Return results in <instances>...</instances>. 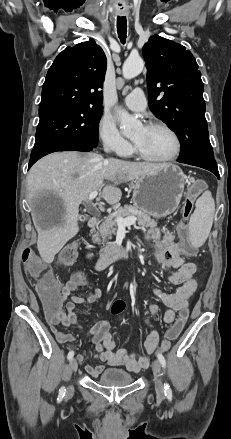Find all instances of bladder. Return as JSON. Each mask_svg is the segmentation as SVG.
I'll return each instance as SVG.
<instances>
[{
	"label": "bladder",
	"mask_w": 231,
	"mask_h": 439,
	"mask_svg": "<svg viewBox=\"0 0 231 439\" xmlns=\"http://www.w3.org/2000/svg\"><path fill=\"white\" fill-rule=\"evenodd\" d=\"M134 378L131 374L120 369H107L96 380L102 386L120 387L132 384Z\"/></svg>",
	"instance_id": "bladder-1"
}]
</instances>
